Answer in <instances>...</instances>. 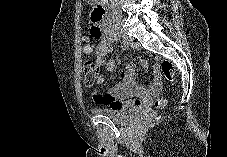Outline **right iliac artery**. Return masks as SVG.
Masks as SVG:
<instances>
[{"mask_svg":"<svg viewBox=\"0 0 227 157\" xmlns=\"http://www.w3.org/2000/svg\"><path fill=\"white\" fill-rule=\"evenodd\" d=\"M112 35H113V38H112L113 41H118L119 44H122L123 43V40L122 39H119L118 36L115 34L114 31H112ZM127 49H128V46L127 45H122V50H127Z\"/></svg>","mask_w":227,"mask_h":157,"instance_id":"right-iliac-artery-1","label":"right iliac artery"}]
</instances>
